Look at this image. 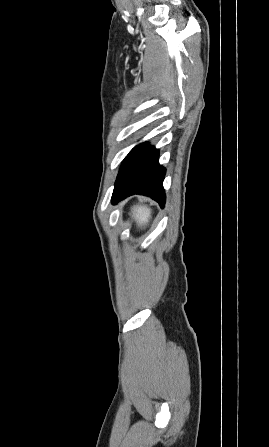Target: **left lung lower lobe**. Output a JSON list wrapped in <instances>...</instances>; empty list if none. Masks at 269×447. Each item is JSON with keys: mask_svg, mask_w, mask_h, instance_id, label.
<instances>
[{"mask_svg": "<svg viewBox=\"0 0 269 447\" xmlns=\"http://www.w3.org/2000/svg\"><path fill=\"white\" fill-rule=\"evenodd\" d=\"M159 151L148 143L137 146L122 164L112 194V203L141 194L154 199L161 208L165 204L162 186L165 168L158 163Z\"/></svg>", "mask_w": 269, "mask_h": 447, "instance_id": "0a47b994", "label": "left lung lower lobe"}]
</instances>
